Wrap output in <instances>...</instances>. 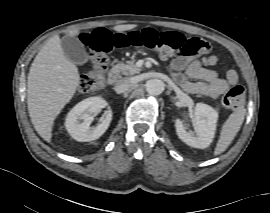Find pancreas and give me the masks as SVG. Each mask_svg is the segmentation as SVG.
I'll return each mask as SVG.
<instances>
[{"label":"pancreas","mask_w":270,"mask_h":213,"mask_svg":"<svg viewBox=\"0 0 270 213\" xmlns=\"http://www.w3.org/2000/svg\"><path fill=\"white\" fill-rule=\"evenodd\" d=\"M116 69L120 70L124 75H134L141 71V68L136 66L135 59L117 65Z\"/></svg>","instance_id":"1"}]
</instances>
